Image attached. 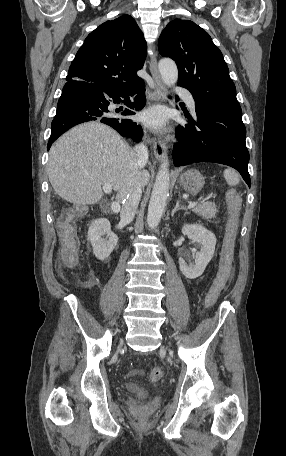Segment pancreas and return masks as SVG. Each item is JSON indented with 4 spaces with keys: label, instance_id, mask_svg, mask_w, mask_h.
I'll return each instance as SVG.
<instances>
[{
    "label": "pancreas",
    "instance_id": "1",
    "mask_svg": "<svg viewBox=\"0 0 286 456\" xmlns=\"http://www.w3.org/2000/svg\"><path fill=\"white\" fill-rule=\"evenodd\" d=\"M193 212L204 219H212L216 216L217 207L215 202L208 201L195 206Z\"/></svg>",
    "mask_w": 286,
    "mask_h": 456
}]
</instances>
